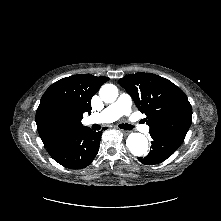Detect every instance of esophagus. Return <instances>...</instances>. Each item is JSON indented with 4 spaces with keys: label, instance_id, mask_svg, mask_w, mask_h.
I'll return each instance as SVG.
<instances>
[{
    "label": "esophagus",
    "instance_id": "esophagus-1",
    "mask_svg": "<svg viewBox=\"0 0 221 221\" xmlns=\"http://www.w3.org/2000/svg\"><path fill=\"white\" fill-rule=\"evenodd\" d=\"M121 132L124 134V135H128L130 133V131L128 130H121Z\"/></svg>",
    "mask_w": 221,
    "mask_h": 221
}]
</instances>
